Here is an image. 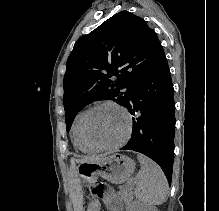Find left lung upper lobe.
I'll list each match as a JSON object with an SVG mask.
<instances>
[{
  "instance_id": "obj_1",
  "label": "left lung upper lobe",
  "mask_w": 219,
  "mask_h": 211,
  "mask_svg": "<svg viewBox=\"0 0 219 211\" xmlns=\"http://www.w3.org/2000/svg\"><path fill=\"white\" fill-rule=\"evenodd\" d=\"M163 54L155 31L128 11L80 37L67 59L63 81L67 132L78 111L94 101L124 106L134 84Z\"/></svg>"
}]
</instances>
